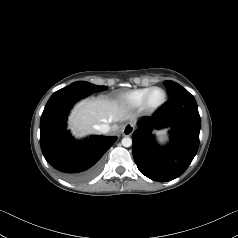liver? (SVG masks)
<instances>
[{
  "instance_id": "6515ba94",
  "label": "liver",
  "mask_w": 238,
  "mask_h": 238,
  "mask_svg": "<svg viewBox=\"0 0 238 238\" xmlns=\"http://www.w3.org/2000/svg\"><path fill=\"white\" fill-rule=\"evenodd\" d=\"M127 119H134L126 107L113 100L88 99L76 104L69 117V128L72 134L77 137L96 132V125L111 124ZM112 131L118 129L117 124L112 125Z\"/></svg>"
}]
</instances>
